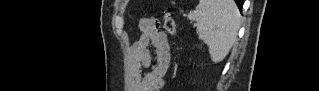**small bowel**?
Listing matches in <instances>:
<instances>
[{
	"label": "small bowel",
	"instance_id": "1",
	"mask_svg": "<svg viewBox=\"0 0 319 91\" xmlns=\"http://www.w3.org/2000/svg\"><path fill=\"white\" fill-rule=\"evenodd\" d=\"M138 27L140 37L131 47L134 61L131 87L134 91H161L171 62L168 36L155 19H142ZM150 47L155 52L153 62ZM143 67H150V70L143 72Z\"/></svg>",
	"mask_w": 319,
	"mask_h": 91
}]
</instances>
